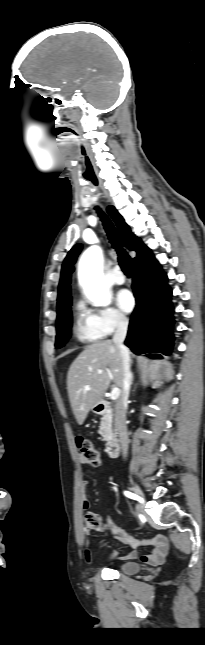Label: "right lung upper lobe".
<instances>
[{"label":"right lung upper lobe","mask_w":205,"mask_h":645,"mask_svg":"<svg viewBox=\"0 0 205 645\" xmlns=\"http://www.w3.org/2000/svg\"><path fill=\"white\" fill-rule=\"evenodd\" d=\"M109 215L113 218L119 235L122 238L125 246L132 251H136L137 256L133 259V264L139 263L152 257V252L148 249L140 238L131 233L129 226L125 223L122 216L116 211L113 206L107 208ZM82 249L81 244L75 245L66 256L61 270V278L58 287L57 298V313L58 315L67 307L71 305V292H70V277L73 272V264L76 261L78 254Z\"/></svg>","instance_id":"right-lung-upper-lobe-1"}]
</instances>
